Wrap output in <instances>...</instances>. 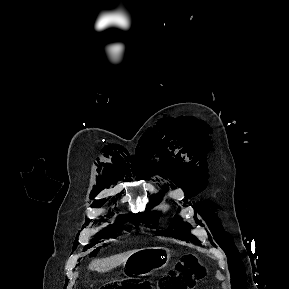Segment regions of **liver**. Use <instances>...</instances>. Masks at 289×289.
I'll use <instances>...</instances> for the list:
<instances>
[{
  "mask_svg": "<svg viewBox=\"0 0 289 289\" xmlns=\"http://www.w3.org/2000/svg\"><path fill=\"white\" fill-rule=\"evenodd\" d=\"M137 251L138 250H132L122 254L111 256L109 258L93 260L89 265V269L96 270L100 273L107 272L124 263L131 255H133Z\"/></svg>",
  "mask_w": 289,
  "mask_h": 289,
  "instance_id": "obj_1",
  "label": "liver"
}]
</instances>
